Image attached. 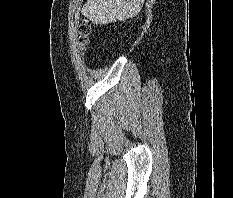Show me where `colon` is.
<instances>
[{
  "label": "colon",
  "instance_id": "5ec220e1",
  "mask_svg": "<svg viewBox=\"0 0 233 198\" xmlns=\"http://www.w3.org/2000/svg\"><path fill=\"white\" fill-rule=\"evenodd\" d=\"M91 26L87 21H83L79 27V43L85 46L89 42V37L91 35Z\"/></svg>",
  "mask_w": 233,
  "mask_h": 198
}]
</instances>
